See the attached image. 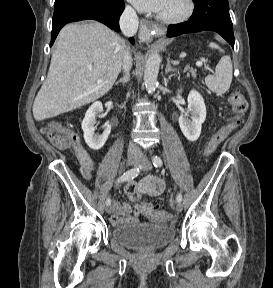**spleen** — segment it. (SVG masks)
<instances>
[{
  "mask_svg": "<svg viewBox=\"0 0 273 288\" xmlns=\"http://www.w3.org/2000/svg\"><path fill=\"white\" fill-rule=\"evenodd\" d=\"M209 46L213 49H218L220 52H224L214 42H211ZM233 67L231 58L224 55L218 64L216 65L215 75H208L205 79L207 87L217 95H222L230 88L232 82Z\"/></svg>",
  "mask_w": 273,
  "mask_h": 288,
  "instance_id": "1",
  "label": "spleen"
}]
</instances>
